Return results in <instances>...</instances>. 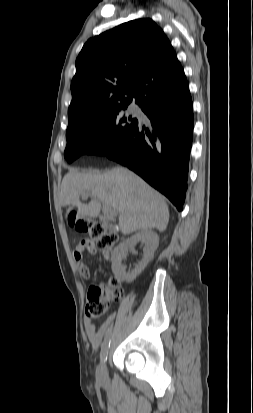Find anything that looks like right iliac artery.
Wrapping results in <instances>:
<instances>
[{
    "label": "right iliac artery",
    "instance_id": "1",
    "mask_svg": "<svg viewBox=\"0 0 253 413\" xmlns=\"http://www.w3.org/2000/svg\"><path fill=\"white\" fill-rule=\"evenodd\" d=\"M110 336H111V331L106 335L102 346H101V352H100V359L101 362H106L107 356H108V349L110 347Z\"/></svg>",
    "mask_w": 253,
    "mask_h": 413
}]
</instances>
